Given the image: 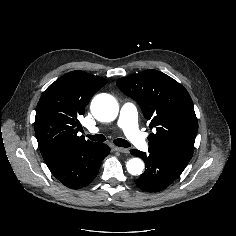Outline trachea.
<instances>
[{"mask_svg":"<svg viewBox=\"0 0 236 236\" xmlns=\"http://www.w3.org/2000/svg\"><path fill=\"white\" fill-rule=\"evenodd\" d=\"M87 137L93 141H98V142H104L106 141V137L102 134H96V135H87ZM114 144L119 146V147H130V143L122 138H117L113 140Z\"/></svg>","mask_w":236,"mask_h":236,"instance_id":"3493384b","label":"trachea"}]
</instances>
